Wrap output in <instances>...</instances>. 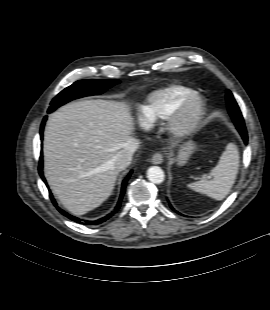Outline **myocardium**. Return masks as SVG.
Listing matches in <instances>:
<instances>
[{
	"label": "myocardium",
	"mask_w": 270,
	"mask_h": 310,
	"mask_svg": "<svg viewBox=\"0 0 270 310\" xmlns=\"http://www.w3.org/2000/svg\"><path fill=\"white\" fill-rule=\"evenodd\" d=\"M206 113V100L197 91L186 95L165 120V132L172 141L185 140L197 133Z\"/></svg>",
	"instance_id": "f54148a6"
}]
</instances>
